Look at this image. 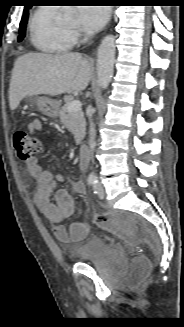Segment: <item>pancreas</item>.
<instances>
[{
    "instance_id": "obj_1",
    "label": "pancreas",
    "mask_w": 184,
    "mask_h": 327,
    "mask_svg": "<svg viewBox=\"0 0 184 327\" xmlns=\"http://www.w3.org/2000/svg\"><path fill=\"white\" fill-rule=\"evenodd\" d=\"M68 103L59 111L60 121L74 135L76 144H79L85 136L86 122L84 113L81 110L69 112L67 108Z\"/></svg>"
}]
</instances>
